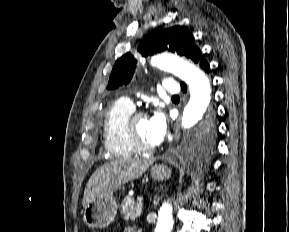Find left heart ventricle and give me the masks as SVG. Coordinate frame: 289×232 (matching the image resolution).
<instances>
[{"instance_id":"left-heart-ventricle-1","label":"left heart ventricle","mask_w":289,"mask_h":232,"mask_svg":"<svg viewBox=\"0 0 289 232\" xmlns=\"http://www.w3.org/2000/svg\"><path fill=\"white\" fill-rule=\"evenodd\" d=\"M134 130L137 137L142 141L144 144L149 146H154L148 129V118L147 117H140L134 123Z\"/></svg>"}]
</instances>
